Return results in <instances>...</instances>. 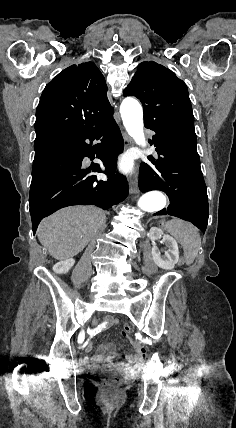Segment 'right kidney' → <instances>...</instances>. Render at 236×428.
I'll return each mask as SVG.
<instances>
[{
  "label": "right kidney",
  "instance_id": "obj_1",
  "mask_svg": "<svg viewBox=\"0 0 236 428\" xmlns=\"http://www.w3.org/2000/svg\"><path fill=\"white\" fill-rule=\"evenodd\" d=\"M74 264V258H68V260H60V262H57V264L53 266L52 270L53 272H56V274H67V272L71 270Z\"/></svg>",
  "mask_w": 236,
  "mask_h": 428
}]
</instances>
